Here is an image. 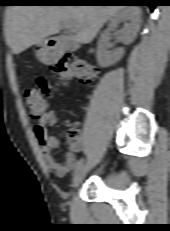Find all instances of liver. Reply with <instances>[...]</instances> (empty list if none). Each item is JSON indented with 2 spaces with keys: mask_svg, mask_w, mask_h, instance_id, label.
I'll return each instance as SVG.
<instances>
[{
  "mask_svg": "<svg viewBox=\"0 0 170 231\" xmlns=\"http://www.w3.org/2000/svg\"><path fill=\"white\" fill-rule=\"evenodd\" d=\"M118 5H21L6 11V41L14 54L60 33L63 25L75 29L76 41L90 43L103 24L124 9Z\"/></svg>",
  "mask_w": 170,
  "mask_h": 231,
  "instance_id": "1",
  "label": "liver"
}]
</instances>
